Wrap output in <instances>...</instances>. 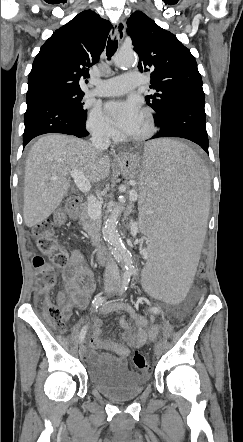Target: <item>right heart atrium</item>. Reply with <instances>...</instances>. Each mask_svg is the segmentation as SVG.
<instances>
[{
	"instance_id": "right-heart-atrium-1",
	"label": "right heart atrium",
	"mask_w": 243,
	"mask_h": 442,
	"mask_svg": "<svg viewBox=\"0 0 243 442\" xmlns=\"http://www.w3.org/2000/svg\"><path fill=\"white\" fill-rule=\"evenodd\" d=\"M86 127L90 133L104 139H115L116 132L98 109H93L87 118Z\"/></svg>"
}]
</instances>
